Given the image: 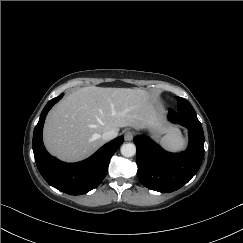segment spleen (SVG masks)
<instances>
[{
	"mask_svg": "<svg viewBox=\"0 0 243 243\" xmlns=\"http://www.w3.org/2000/svg\"><path fill=\"white\" fill-rule=\"evenodd\" d=\"M161 144L169 150L178 151L184 148L185 139L182 137L181 131L174 129L169 131L161 139Z\"/></svg>",
	"mask_w": 243,
	"mask_h": 243,
	"instance_id": "obj_1",
	"label": "spleen"
}]
</instances>
